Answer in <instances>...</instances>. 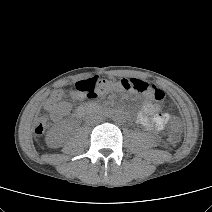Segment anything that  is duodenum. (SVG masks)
<instances>
[{"instance_id": "410a0bca", "label": "duodenum", "mask_w": 212, "mask_h": 212, "mask_svg": "<svg viewBox=\"0 0 212 212\" xmlns=\"http://www.w3.org/2000/svg\"><path fill=\"white\" fill-rule=\"evenodd\" d=\"M94 109H101L102 110V107L96 105V104H86V105H83L81 107L78 108V110L76 111V118H81L83 117L88 111L90 110H94Z\"/></svg>"}]
</instances>
